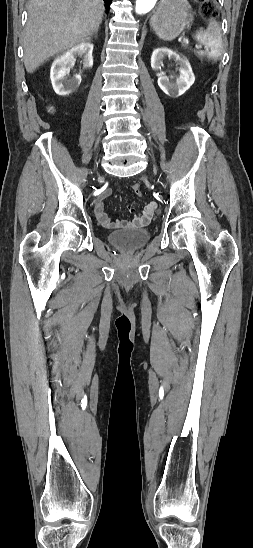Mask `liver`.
I'll return each mask as SVG.
<instances>
[{
    "label": "liver",
    "instance_id": "6515ba94",
    "mask_svg": "<svg viewBox=\"0 0 253 548\" xmlns=\"http://www.w3.org/2000/svg\"><path fill=\"white\" fill-rule=\"evenodd\" d=\"M104 11L103 0H30L23 34L26 71L33 73L50 57L88 41Z\"/></svg>",
    "mask_w": 253,
    "mask_h": 548
}]
</instances>
